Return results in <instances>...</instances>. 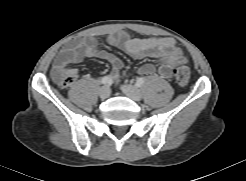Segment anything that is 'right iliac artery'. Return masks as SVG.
Masks as SVG:
<instances>
[{
  "label": "right iliac artery",
  "instance_id": "obj_1",
  "mask_svg": "<svg viewBox=\"0 0 246 181\" xmlns=\"http://www.w3.org/2000/svg\"><path fill=\"white\" fill-rule=\"evenodd\" d=\"M100 82H101V84H104V85L111 84L112 79L110 76H104V77H102Z\"/></svg>",
  "mask_w": 246,
  "mask_h": 181
}]
</instances>
